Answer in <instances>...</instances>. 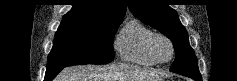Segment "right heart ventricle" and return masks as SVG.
Segmentation results:
<instances>
[{
  "instance_id": "1",
  "label": "right heart ventricle",
  "mask_w": 237,
  "mask_h": 81,
  "mask_svg": "<svg viewBox=\"0 0 237 81\" xmlns=\"http://www.w3.org/2000/svg\"><path fill=\"white\" fill-rule=\"evenodd\" d=\"M154 32L138 20H130L119 31L115 49L121 59L141 66L157 64L149 50V41Z\"/></svg>"
}]
</instances>
